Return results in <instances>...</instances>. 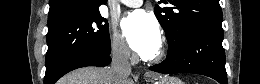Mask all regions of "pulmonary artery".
Masks as SVG:
<instances>
[{
    "instance_id": "pulmonary-artery-1",
    "label": "pulmonary artery",
    "mask_w": 260,
    "mask_h": 84,
    "mask_svg": "<svg viewBox=\"0 0 260 84\" xmlns=\"http://www.w3.org/2000/svg\"><path fill=\"white\" fill-rule=\"evenodd\" d=\"M121 2L129 7H138L142 4L141 0H123Z\"/></svg>"
}]
</instances>
